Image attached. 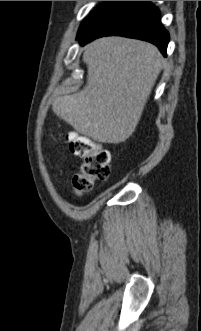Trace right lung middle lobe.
I'll return each instance as SVG.
<instances>
[{"instance_id":"dd1d6c3e","label":"right lung middle lobe","mask_w":201,"mask_h":331,"mask_svg":"<svg viewBox=\"0 0 201 331\" xmlns=\"http://www.w3.org/2000/svg\"><path fill=\"white\" fill-rule=\"evenodd\" d=\"M116 1H107L94 11L88 18H86L78 31V35L84 33L88 28L94 24Z\"/></svg>"}]
</instances>
